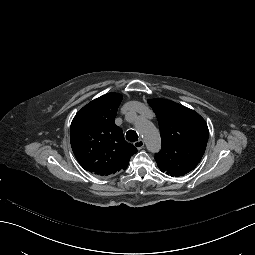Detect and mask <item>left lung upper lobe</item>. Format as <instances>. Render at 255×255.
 Returning <instances> with one entry per match:
<instances>
[{"mask_svg":"<svg viewBox=\"0 0 255 255\" xmlns=\"http://www.w3.org/2000/svg\"><path fill=\"white\" fill-rule=\"evenodd\" d=\"M161 133L162 148L155 160L172 177L184 176L200 162L208 141V126L195 111L178 103L152 99Z\"/></svg>","mask_w":255,"mask_h":255,"instance_id":"5c2ea615","label":"left lung upper lobe"}]
</instances>
